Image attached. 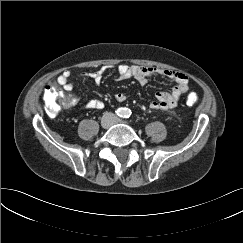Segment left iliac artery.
<instances>
[{
  "mask_svg": "<svg viewBox=\"0 0 243 243\" xmlns=\"http://www.w3.org/2000/svg\"><path fill=\"white\" fill-rule=\"evenodd\" d=\"M131 115V111L129 109H126L124 117L129 118Z\"/></svg>",
  "mask_w": 243,
  "mask_h": 243,
  "instance_id": "obj_1",
  "label": "left iliac artery"
}]
</instances>
